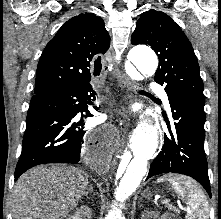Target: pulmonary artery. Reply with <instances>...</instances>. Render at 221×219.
Segmentation results:
<instances>
[{
	"label": "pulmonary artery",
	"mask_w": 221,
	"mask_h": 219,
	"mask_svg": "<svg viewBox=\"0 0 221 219\" xmlns=\"http://www.w3.org/2000/svg\"><path fill=\"white\" fill-rule=\"evenodd\" d=\"M151 90L153 93H156V94H159L162 96L163 102H164L166 108L169 109L170 108L169 100H168L166 93L163 91L162 87L160 85H158L157 83H153L151 85Z\"/></svg>",
	"instance_id": "1"
}]
</instances>
